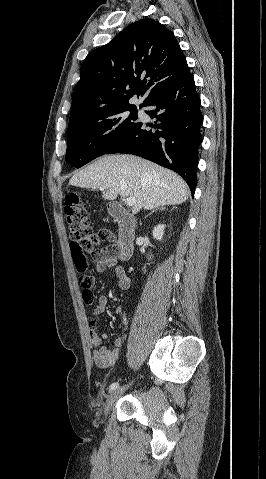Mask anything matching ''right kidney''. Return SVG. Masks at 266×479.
Masks as SVG:
<instances>
[{
	"mask_svg": "<svg viewBox=\"0 0 266 479\" xmlns=\"http://www.w3.org/2000/svg\"><path fill=\"white\" fill-rule=\"evenodd\" d=\"M164 229H165V225L163 224H158L157 226H155L152 231L153 238L161 241L164 234Z\"/></svg>",
	"mask_w": 266,
	"mask_h": 479,
	"instance_id": "1",
	"label": "right kidney"
}]
</instances>
